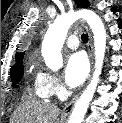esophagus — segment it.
<instances>
[{
	"label": "esophagus",
	"mask_w": 122,
	"mask_h": 123,
	"mask_svg": "<svg viewBox=\"0 0 122 123\" xmlns=\"http://www.w3.org/2000/svg\"><path fill=\"white\" fill-rule=\"evenodd\" d=\"M82 24L88 31V35H89L88 54H89V59H90V64H91V71H90V74H89L88 80H87V81H89L91 78L92 65H93V39H92V35H91V32H90L88 26L85 25L84 23H82ZM78 98H79V94L76 95L68 104H66V106L64 107V109L62 111L63 115H68L72 112L73 107H74L75 103L77 102Z\"/></svg>",
	"instance_id": "obj_1"
}]
</instances>
